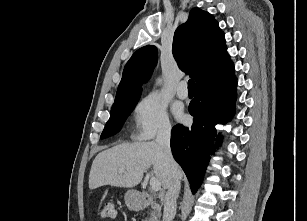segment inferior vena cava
<instances>
[{
  "label": "inferior vena cava",
  "mask_w": 307,
  "mask_h": 221,
  "mask_svg": "<svg viewBox=\"0 0 307 221\" xmlns=\"http://www.w3.org/2000/svg\"><path fill=\"white\" fill-rule=\"evenodd\" d=\"M170 125H163L156 136V143L163 151L166 164L171 171V180L164 200L163 221H172L176 214V200L181 188L180 179L175 174L176 162L170 149Z\"/></svg>",
  "instance_id": "1"
}]
</instances>
